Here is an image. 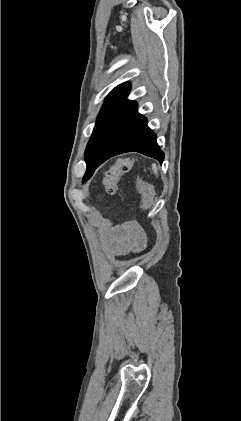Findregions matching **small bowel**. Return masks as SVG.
Returning a JSON list of instances; mask_svg holds the SVG:
<instances>
[{
	"instance_id": "1",
	"label": "small bowel",
	"mask_w": 241,
	"mask_h": 421,
	"mask_svg": "<svg viewBox=\"0 0 241 421\" xmlns=\"http://www.w3.org/2000/svg\"><path fill=\"white\" fill-rule=\"evenodd\" d=\"M105 240L112 255L139 252L146 246V234L135 222L111 227L105 233Z\"/></svg>"
}]
</instances>
